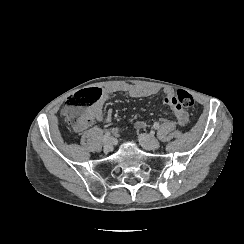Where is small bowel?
Here are the masks:
<instances>
[{
	"mask_svg": "<svg viewBox=\"0 0 244 244\" xmlns=\"http://www.w3.org/2000/svg\"><path fill=\"white\" fill-rule=\"evenodd\" d=\"M98 90L101 93L100 99L95 104L87 107L86 109L91 117L90 126H92L97 121H101L104 118L103 105L113 94L122 92L133 98H146L158 92V90L154 87L134 86L130 84H110ZM164 93L165 97L163 99V103L167 106L172 107L173 114L178 124L180 126L187 125V123L189 122V114L182 107H179L172 103L173 91L170 88H166L164 89ZM105 120L107 122L111 121V113H107V115L105 116ZM136 125L138 128L141 129L146 127V123L143 121L137 122Z\"/></svg>",
	"mask_w": 244,
	"mask_h": 244,
	"instance_id": "obj_1",
	"label": "small bowel"
}]
</instances>
